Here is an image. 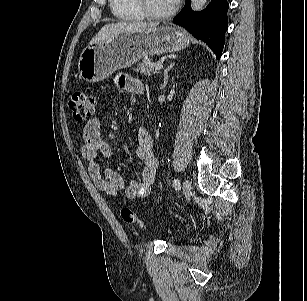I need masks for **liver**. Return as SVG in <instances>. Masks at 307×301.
Segmentation results:
<instances>
[{"label":"liver","mask_w":307,"mask_h":301,"mask_svg":"<svg viewBox=\"0 0 307 301\" xmlns=\"http://www.w3.org/2000/svg\"><path fill=\"white\" fill-rule=\"evenodd\" d=\"M158 23H145L140 21L135 22H118L107 24L98 32V34L92 38L90 41V45L94 43H98L101 41H105L115 34L121 32H136L146 28L156 27Z\"/></svg>","instance_id":"6515ba94"}]
</instances>
